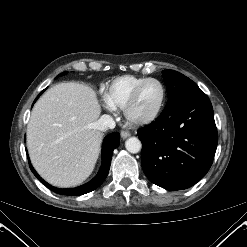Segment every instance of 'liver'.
I'll return each mask as SVG.
<instances>
[{"instance_id":"1","label":"liver","mask_w":247,"mask_h":247,"mask_svg":"<svg viewBox=\"0 0 247 247\" xmlns=\"http://www.w3.org/2000/svg\"><path fill=\"white\" fill-rule=\"evenodd\" d=\"M100 105L84 84L60 83L36 102L27 127L31 162L50 184L73 187L92 173L102 134L96 129Z\"/></svg>"}]
</instances>
